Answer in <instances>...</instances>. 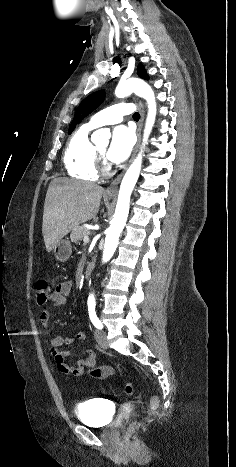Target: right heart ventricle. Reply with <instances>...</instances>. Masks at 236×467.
Wrapping results in <instances>:
<instances>
[{"label": "right heart ventricle", "mask_w": 236, "mask_h": 467, "mask_svg": "<svg viewBox=\"0 0 236 467\" xmlns=\"http://www.w3.org/2000/svg\"><path fill=\"white\" fill-rule=\"evenodd\" d=\"M92 129L81 126L67 144L63 162L68 175L74 179L96 181L99 178L96 148L89 139Z\"/></svg>", "instance_id": "obj_1"}]
</instances>
